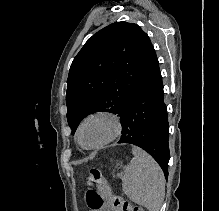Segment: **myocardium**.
Segmentation results:
<instances>
[{"instance_id": "obj_1", "label": "myocardium", "mask_w": 219, "mask_h": 211, "mask_svg": "<svg viewBox=\"0 0 219 211\" xmlns=\"http://www.w3.org/2000/svg\"><path fill=\"white\" fill-rule=\"evenodd\" d=\"M98 117L107 119L111 123V130L109 134L107 135V137L101 143L95 146H90V147L84 146L81 141L82 128L86 122H88L89 120L93 118H98ZM121 132H122V119L116 112L110 111V110H97L92 113H89L82 119L77 129V139H78L79 144L84 149L97 150V149L103 148L110 142L114 141L116 138H118L121 135Z\"/></svg>"}]
</instances>
